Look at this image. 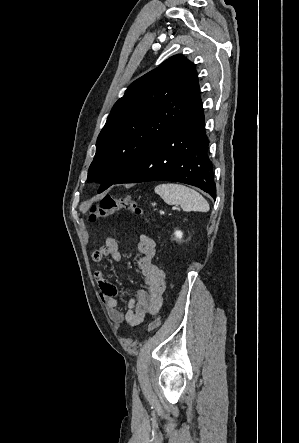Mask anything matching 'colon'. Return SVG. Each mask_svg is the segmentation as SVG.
Wrapping results in <instances>:
<instances>
[{"mask_svg":"<svg viewBox=\"0 0 299 443\" xmlns=\"http://www.w3.org/2000/svg\"><path fill=\"white\" fill-rule=\"evenodd\" d=\"M126 210L135 214L142 215L144 210L139 206L135 199L132 197L116 199L110 195L101 197L97 205H93L89 210V220L95 222L98 219L108 217L118 211ZM162 323L160 316L155 317L148 324V331H153L158 328Z\"/></svg>","mask_w":299,"mask_h":443,"instance_id":"1","label":"colon"}]
</instances>
